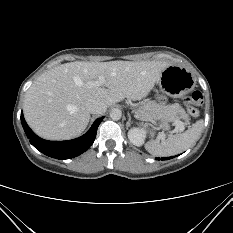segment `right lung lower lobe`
I'll return each instance as SVG.
<instances>
[{"mask_svg":"<svg viewBox=\"0 0 233 233\" xmlns=\"http://www.w3.org/2000/svg\"><path fill=\"white\" fill-rule=\"evenodd\" d=\"M103 118H98L81 137L69 141H47L38 137L27 125L21 113V122L30 143L43 154L56 159H70L85 152L94 142L97 128Z\"/></svg>","mask_w":233,"mask_h":233,"instance_id":"98d812e1","label":"right lung lower lobe"}]
</instances>
